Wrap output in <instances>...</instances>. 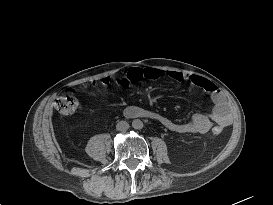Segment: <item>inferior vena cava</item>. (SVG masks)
<instances>
[{"label": "inferior vena cava", "mask_w": 273, "mask_h": 205, "mask_svg": "<svg viewBox=\"0 0 273 205\" xmlns=\"http://www.w3.org/2000/svg\"><path fill=\"white\" fill-rule=\"evenodd\" d=\"M118 131H126L129 129V124L126 121H120L116 125Z\"/></svg>", "instance_id": "602c4592"}]
</instances>
